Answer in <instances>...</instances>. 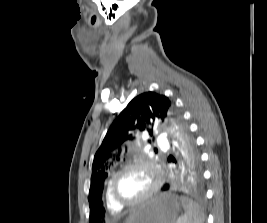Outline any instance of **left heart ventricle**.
Returning <instances> with one entry per match:
<instances>
[{
    "instance_id": "obj_1",
    "label": "left heart ventricle",
    "mask_w": 267,
    "mask_h": 223,
    "mask_svg": "<svg viewBox=\"0 0 267 223\" xmlns=\"http://www.w3.org/2000/svg\"><path fill=\"white\" fill-rule=\"evenodd\" d=\"M154 183L152 172L141 166L125 170L115 182L116 195L124 201H134L143 196Z\"/></svg>"
}]
</instances>
